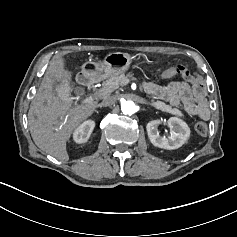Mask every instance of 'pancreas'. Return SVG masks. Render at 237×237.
Returning <instances> with one entry per match:
<instances>
[{
    "label": "pancreas",
    "mask_w": 237,
    "mask_h": 237,
    "mask_svg": "<svg viewBox=\"0 0 237 237\" xmlns=\"http://www.w3.org/2000/svg\"><path fill=\"white\" fill-rule=\"evenodd\" d=\"M131 77H132L131 74H124V73L120 74L118 76H112V77H110V79H107L105 82H103L102 89L107 94H109V93L113 92L119 86V84L123 82V80H124V82H128ZM124 82H123V84H127ZM147 100L150 101L151 105L154 108L160 109L161 111H163L165 113H169L174 116H181V117L184 116L183 112L179 108H173L170 105L165 104L164 102L156 101L150 95H147Z\"/></svg>",
    "instance_id": "cf45deb5"
}]
</instances>
